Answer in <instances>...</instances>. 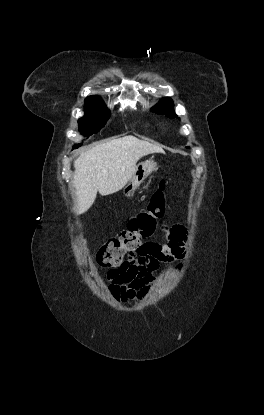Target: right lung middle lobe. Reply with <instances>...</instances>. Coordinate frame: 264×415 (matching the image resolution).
Listing matches in <instances>:
<instances>
[{
	"label": "right lung middle lobe",
	"mask_w": 264,
	"mask_h": 415,
	"mask_svg": "<svg viewBox=\"0 0 264 415\" xmlns=\"http://www.w3.org/2000/svg\"><path fill=\"white\" fill-rule=\"evenodd\" d=\"M109 115V111L101 99L85 100V115L78 120L79 131L87 136L97 133ZM80 145H74V148H78Z\"/></svg>",
	"instance_id": "1"
}]
</instances>
